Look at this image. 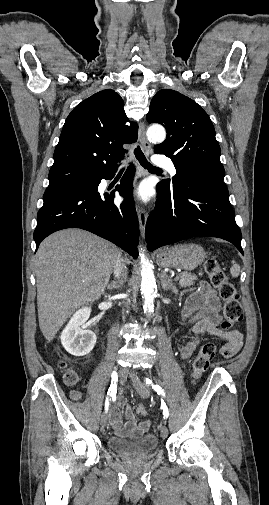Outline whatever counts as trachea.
Masks as SVG:
<instances>
[{
    "instance_id": "1",
    "label": "trachea",
    "mask_w": 269,
    "mask_h": 505,
    "mask_svg": "<svg viewBox=\"0 0 269 505\" xmlns=\"http://www.w3.org/2000/svg\"><path fill=\"white\" fill-rule=\"evenodd\" d=\"M134 154H135V157L137 158V160L139 161V163L145 169H148L149 171L162 172V170L160 168H157V167L153 166L151 163H149L147 161L144 153L142 152V150L140 149L139 146H137V148L134 149Z\"/></svg>"
}]
</instances>
